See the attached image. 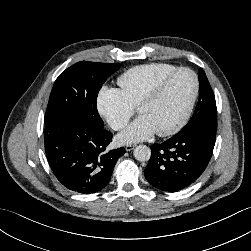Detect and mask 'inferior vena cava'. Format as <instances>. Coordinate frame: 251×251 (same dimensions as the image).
Listing matches in <instances>:
<instances>
[{"label":"inferior vena cava","instance_id":"obj_1","mask_svg":"<svg viewBox=\"0 0 251 251\" xmlns=\"http://www.w3.org/2000/svg\"><path fill=\"white\" fill-rule=\"evenodd\" d=\"M124 126H125V123L119 122V123H116V124L113 126V129H114V130H119V129L123 128Z\"/></svg>","mask_w":251,"mask_h":251}]
</instances>
